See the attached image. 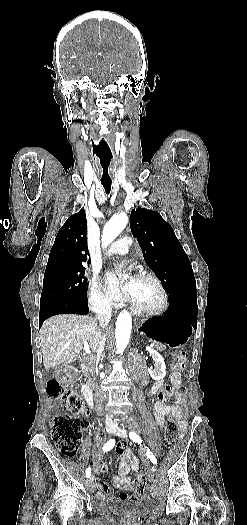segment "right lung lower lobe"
I'll return each mask as SVG.
<instances>
[{
    "instance_id": "98d812e1",
    "label": "right lung lower lobe",
    "mask_w": 247,
    "mask_h": 525,
    "mask_svg": "<svg viewBox=\"0 0 247 525\" xmlns=\"http://www.w3.org/2000/svg\"><path fill=\"white\" fill-rule=\"evenodd\" d=\"M89 312L88 301L83 302H56L52 303L48 307H45L39 313V325L41 327L42 323L46 318L55 314L62 313H73V314H87Z\"/></svg>"
}]
</instances>
